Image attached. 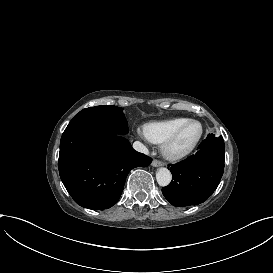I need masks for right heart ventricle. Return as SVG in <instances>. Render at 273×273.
I'll list each match as a JSON object with an SVG mask.
<instances>
[{"mask_svg":"<svg viewBox=\"0 0 273 273\" xmlns=\"http://www.w3.org/2000/svg\"><path fill=\"white\" fill-rule=\"evenodd\" d=\"M188 120L190 119L180 117L166 121L149 123L145 126L144 135L152 143L163 144Z\"/></svg>","mask_w":273,"mask_h":273,"instance_id":"e07e8e85","label":"right heart ventricle"}]
</instances>
